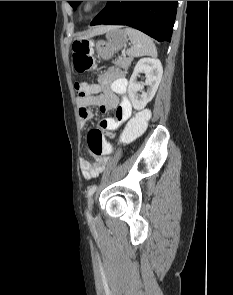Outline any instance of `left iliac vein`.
Segmentation results:
<instances>
[{
	"mask_svg": "<svg viewBox=\"0 0 233 295\" xmlns=\"http://www.w3.org/2000/svg\"><path fill=\"white\" fill-rule=\"evenodd\" d=\"M92 208H93V198L90 197V198L88 199V212H89V215H90V213H91V211H92Z\"/></svg>",
	"mask_w": 233,
	"mask_h": 295,
	"instance_id": "4c4485c4",
	"label": "left iliac vein"
}]
</instances>
